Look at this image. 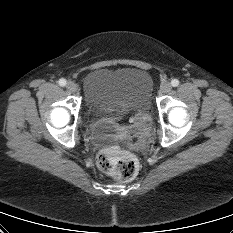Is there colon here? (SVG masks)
Here are the masks:
<instances>
[{
	"label": "colon",
	"instance_id": "obj_1",
	"mask_svg": "<svg viewBox=\"0 0 233 233\" xmlns=\"http://www.w3.org/2000/svg\"><path fill=\"white\" fill-rule=\"evenodd\" d=\"M135 125L141 135H145L146 123L144 118H137ZM98 168L119 181H129L133 179L138 171L136 160L127 154L116 149L101 151L96 159Z\"/></svg>",
	"mask_w": 233,
	"mask_h": 233
}]
</instances>
